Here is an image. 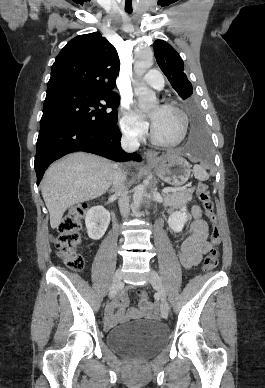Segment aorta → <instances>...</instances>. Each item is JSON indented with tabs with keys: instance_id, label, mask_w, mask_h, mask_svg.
Returning <instances> with one entry per match:
<instances>
[{
	"instance_id": "1",
	"label": "aorta",
	"mask_w": 265,
	"mask_h": 388,
	"mask_svg": "<svg viewBox=\"0 0 265 388\" xmlns=\"http://www.w3.org/2000/svg\"><path fill=\"white\" fill-rule=\"evenodd\" d=\"M153 64V53L151 50L139 51L136 55L134 62V70L137 77L140 79L147 69ZM134 92L138 96V101L141 106H151L156 101L155 93L145 86L144 83L138 81L134 86ZM145 194V186L143 184L138 185L135 188L133 195V203L136 208H139L143 196Z\"/></svg>"
}]
</instances>
